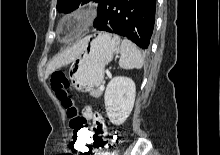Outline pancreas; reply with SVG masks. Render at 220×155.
I'll list each match as a JSON object with an SVG mask.
<instances>
[{
    "mask_svg": "<svg viewBox=\"0 0 220 155\" xmlns=\"http://www.w3.org/2000/svg\"><path fill=\"white\" fill-rule=\"evenodd\" d=\"M102 90L100 89H97L93 94L92 96H94L95 98H99L101 95H102Z\"/></svg>",
    "mask_w": 220,
    "mask_h": 155,
    "instance_id": "cf45deb5",
    "label": "pancreas"
}]
</instances>
